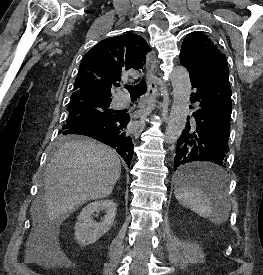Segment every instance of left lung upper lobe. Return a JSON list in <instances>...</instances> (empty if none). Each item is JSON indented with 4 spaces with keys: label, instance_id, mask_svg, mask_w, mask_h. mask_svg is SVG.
Segmentation results:
<instances>
[{
    "label": "left lung upper lobe",
    "instance_id": "obj_1",
    "mask_svg": "<svg viewBox=\"0 0 263 275\" xmlns=\"http://www.w3.org/2000/svg\"><path fill=\"white\" fill-rule=\"evenodd\" d=\"M180 62L188 70L210 74L219 70L228 71L226 56L200 32L189 33L181 47Z\"/></svg>",
    "mask_w": 263,
    "mask_h": 275
}]
</instances>
